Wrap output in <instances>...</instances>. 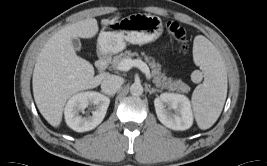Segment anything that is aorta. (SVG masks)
I'll return each instance as SVG.
<instances>
[{"label":"aorta","instance_id":"obj_1","mask_svg":"<svg viewBox=\"0 0 267 166\" xmlns=\"http://www.w3.org/2000/svg\"><path fill=\"white\" fill-rule=\"evenodd\" d=\"M130 93L133 95V96H140L142 95L143 93V87L141 84H138V83H134L131 85L130 87Z\"/></svg>","mask_w":267,"mask_h":166}]
</instances>
